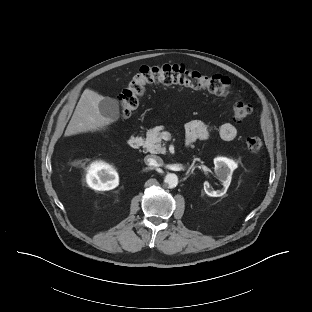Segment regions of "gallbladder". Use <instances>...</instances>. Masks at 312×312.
I'll use <instances>...</instances> for the list:
<instances>
[{"label":"gallbladder","instance_id":"1","mask_svg":"<svg viewBox=\"0 0 312 312\" xmlns=\"http://www.w3.org/2000/svg\"><path fill=\"white\" fill-rule=\"evenodd\" d=\"M98 108L101 115L111 121H116L120 117L119 102L114 98L103 97Z\"/></svg>","mask_w":312,"mask_h":312}]
</instances>
